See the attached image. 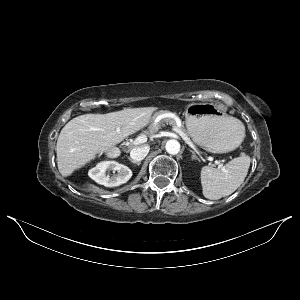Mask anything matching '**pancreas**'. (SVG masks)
<instances>
[{"mask_svg":"<svg viewBox=\"0 0 300 300\" xmlns=\"http://www.w3.org/2000/svg\"><path fill=\"white\" fill-rule=\"evenodd\" d=\"M163 122L169 123V124H171V125L176 126L175 121L172 120V119L165 118V119H163L162 121H160V123H163ZM177 128H179L181 131H183V132L188 136V133H187L186 129H185L183 126L177 127ZM147 133H151V131H150V132H147Z\"/></svg>","mask_w":300,"mask_h":300,"instance_id":"pancreas-1","label":"pancreas"}]
</instances>
